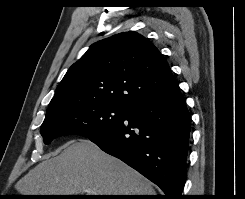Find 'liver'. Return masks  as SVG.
Returning <instances> with one entry per match:
<instances>
[{"label":"liver","instance_id":"liver-1","mask_svg":"<svg viewBox=\"0 0 245 199\" xmlns=\"http://www.w3.org/2000/svg\"><path fill=\"white\" fill-rule=\"evenodd\" d=\"M22 195H155L151 183L88 139L70 141L16 185Z\"/></svg>","mask_w":245,"mask_h":199}]
</instances>
